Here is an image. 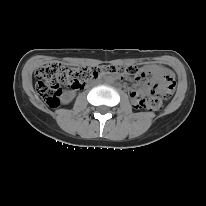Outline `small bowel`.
Listing matches in <instances>:
<instances>
[{
	"label": "small bowel",
	"mask_w": 206,
	"mask_h": 206,
	"mask_svg": "<svg viewBox=\"0 0 206 206\" xmlns=\"http://www.w3.org/2000/svg\"><path fill=\"white\" fill-rule=\"evenodd\" d=\"M149 72L152 74L153 78L155 81L157 82H161L165 77L167 76H172V73L169 69L162 67V66H158V65H152L149 67ZM144 91V87H141V89L138 91L136 89H130L129 93L130 96L135 99L137 98L141 92Z\"/></svg>",
	"instance_id": "1"
}]
</instances>
